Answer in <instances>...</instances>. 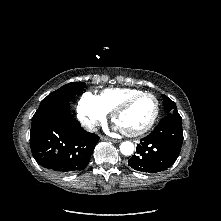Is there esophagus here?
Instances as JSON below:
<instances>
[{"instance_id": "34e87169", "label": "esophagus", "mask_w": 221, "mask_h": 221, "mask_svg": "<svg viewBox=\"0 0 221 221\" xmlns=\"http://www.w3.org/2000/svg\"><path fill=\"white\" fill-rule=\"evenodd\" d=\"M101 140L110 141V142H113V143H118L119 142V140H117V139H112V138H109V137H106V136H101Z\"/></svg>"}]
</instances>
